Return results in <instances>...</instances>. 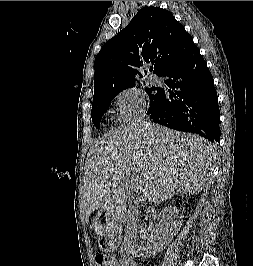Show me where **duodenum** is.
Returning a JSON list of instances; mask_svg holds the SVG:
<instances>
[{"mask_svg":"<svg viewBox=\"0 0 253 266\" xmlns=\"http://www.w3.org/2000/svg\"><path fill=\"white\" fill-rule=\"evenodd\" d=\"M117 238V235L114 232L107 233L104 235V240H106L108 243L113 242ZM126 261H129L132 263V260L125 259Z\"/></svg>","mask_w":253,"mask_h":266,"instance_id":"1","label":"duodenum"}]
</instances>
